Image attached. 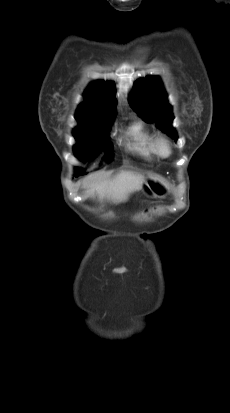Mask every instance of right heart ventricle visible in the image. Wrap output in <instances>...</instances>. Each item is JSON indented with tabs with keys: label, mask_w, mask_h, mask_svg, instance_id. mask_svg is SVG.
I'll use <instances>...</instances> for the list:
<instances>
[{
	"label": "right heart ventricle",
	"mask_w": 230,
	"mask_h": 413,
	"mask_svg": "<svg viewBox=\"0 0 230 413\" xmlns=\"http://www.w3.org/2000/svg\"><path fill=\"white\" fill-rule=\"evenodd\" d=\"M128 133L133 140L134 151L146 158L157 155L155 137L143 123H134Z\"/></svg>",
	"instance_id": "e07e8e85"
}]
</instances>
